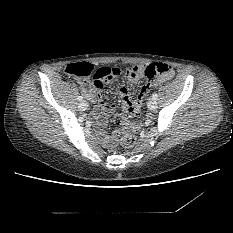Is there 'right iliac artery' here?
Segmentation results:
<instances>
[{"instance_id":"right-iliac-artery-1","label":"right iliac artery","mask_w":233,"mask_h":233,"mask_svg":"<svg viewBox=\"0 0 233 233\" xmlns=\"http://www.w3.org/2000/svg\"><path fill=\"white\" fill-rule=\"evenodd\" d=\"M77 100H78V101H82V100H83V97L79 95V96L77 97Z\"/></svg>"}]
</instances>
